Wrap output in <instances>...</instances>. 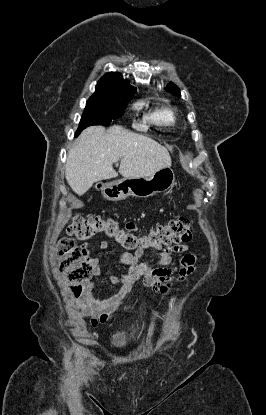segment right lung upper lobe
Wrapping results in <instances>:
<instances>
[{"mask_svg":"<svg viewBox=\"0 0 266 415\" xmlns=\"http://www.w3.org/2000/svg\"><path fill=\"white\" fill-rule=\"evenodd\" d=\"M135 91L136 88L132 87L127 80H124L119 73L109 72L98 81L96 91L91 97L133 96Z\"/></svg>","mask_w":266,"mask_h":415,"instance_id":"right-lung-upper-lobe-1","label":"right lung upper lobe"}]
</instances>
